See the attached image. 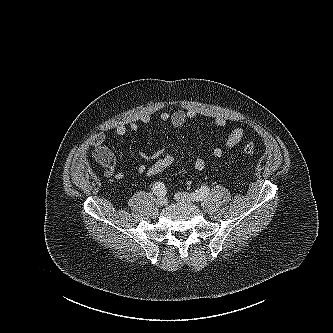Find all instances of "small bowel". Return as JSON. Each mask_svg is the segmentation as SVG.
Here are the masks:
<instances>
[{
  "label": "small bowel",
  "mask_w": 333,
  "mask_h": 333,
  "mask_svg": "<svg viewBox=\"0 0 333 333\" xmlns=\"http://www.w3.org/2000/svg\"><path fill=\"white\" fill-rule=\"evenodd\" d=\"M160 120L164 123H170L174 128H181L187 121L192 120L196 117L194 111H182L176 110L174 112L163 111L160 113ZM146 122L148 119L145 120ZM215 126L222 128L226 125V120L223 117H216L214 119ZM138 124L131 123L129 126L120 124L115 128V134L118 137H123L126 133L131 130L133 132L137 131ZM244 138V130L241 127L234 128L225 140L224 146L226 149L232 150L236 148ZM105 134L99 132L95 134L91 140V145L94 148L93 157L104 168V175L106 178H114L116 180H122L124 174L120 171H116V158L114 153L104 144ZM166 148L158 149L152 153L147 151H142L140 153L141 159L145 161L155 160L164 153H166ZM212 154L215 158H221L224 154V149L222 147H215L212 150ZM206 167V161L202 157H197L194 161V168L197 171H203ZM147 166L141 164L138 166L137 170L140 174H145Z\"/></svg>",
  "instance_id": "small-bowel-1"
}]
</instances>
